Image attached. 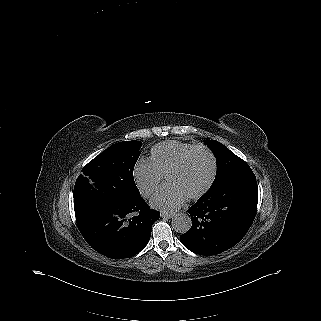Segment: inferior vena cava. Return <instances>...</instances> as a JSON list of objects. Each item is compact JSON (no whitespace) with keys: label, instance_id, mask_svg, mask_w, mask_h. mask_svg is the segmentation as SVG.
I'll use <instances>...</instances> for the list:
<instances>
[{"label":"inferior vena cava","instance_id":"602c4592","mask_svg":"<svg viewBox=\"0 0 321 321\" xmlns=\"http://www.w3.org/2000/svg\"><path fill=\"white\" fill-rule=\"evenodd\" d=\"M149 194V191H144V196H147Z\"/></svg>","mask_w":321,"mask_h":321}]
</instances>
